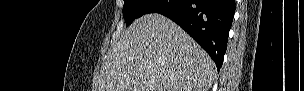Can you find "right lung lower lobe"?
Segmentation results:
<instances>
[{"label":"right lung lower lobe","mask_w":304,"mask_h":91,"mask_svg":"<svg viewBox=\"0 0 304 91\" xmlns=\"http://www.w3.org/2000/svg\"><path fill=\"white\" fill-rule=\"evenodd\" d=\"M234 12V0H158L149 11L180 25L210 55L218 71Z\"/></svg>","instance_id":"right-lung-lower-lobe-1"}]
</instances>
